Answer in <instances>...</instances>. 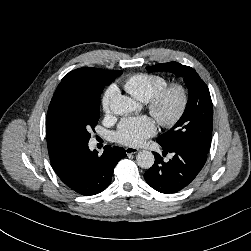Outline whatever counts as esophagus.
Instances as JSON below:
<instances>
[{
  "label": "esophagus",
  "mask_w": 251,
  "mask_h": 251,
  "mask_svg": "<svg viewBox=\"0 0 251 251\" xmlns=\"http://www.w3.org/2000/svg\"><path fill=\"white\" fill-rule=\"evenodd\" d=\"M138 151H139V149H138V148H135V147H127V148L125 149V152H126L127 155L135 154V153H137Z\"/></svg>",
  "instance_id": "34e87169"
}]
</instances>
